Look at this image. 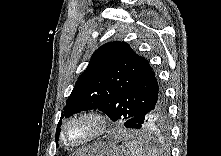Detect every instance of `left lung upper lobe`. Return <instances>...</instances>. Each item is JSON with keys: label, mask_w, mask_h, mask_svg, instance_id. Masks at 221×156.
Wrapping results in <instances>:
<instances>
[{"label": "left lung upper lobe", "mask_w": 221, "mask_h": 156, "mask_svg": "<svg viewBox=\"0 0 221 156\" xmlns=\"http://www.w3.org/2000/svg\"><path fill=\"white\" fill-rule=\"evenodd\" d=\"M161 96V85L149 62L126 42H109L93 53L61 118L98 109L113 121H127L155 106Z\"/></svg>", "instance_id": "obj_1"}]
</instances>
